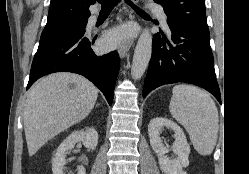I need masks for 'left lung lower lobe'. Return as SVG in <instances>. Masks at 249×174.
<instances>
[{
    "label": "left lung lower lobe",
    "mask_w": 249,
    "mask_h": 174,
    "mask_svg": "<svg viewBox=\"0 0 249 174\" xmlns=\"http://www.w3.org/2000/svg\"><path fill=\"white\" fill-rule=\"evenodd\" d=\"M167 23L172 32L173 45L159 33L153 36L143 97L161 85L185 82L206 89L221 103L209 29L179 23L169 17ZM166 43L169 47H166Z\"/></svg>",
    "instance_id": "obj_1"
}]
</instances>
